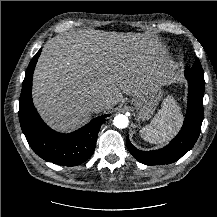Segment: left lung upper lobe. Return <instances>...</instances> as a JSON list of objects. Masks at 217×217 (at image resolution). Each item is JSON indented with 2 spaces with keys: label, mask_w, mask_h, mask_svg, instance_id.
Segmentation results:
<instances>
[{
  "label": "left lung upper lobe",
  "mask_w": 217,
  "mask_h": 217,
  "mask_svg": "<svg viewBox=\"0 0 217 217\" xmlns=\"http://www.w3.org/2000/svg\"><path fill=\"white\" fill-rule=\"evenodd\" d=\"M193 72V74L199 79L204 81V71L202 69V66L200 64L199 59H196V61L194 62V65L192 68H190Z\"/></svg>",
  "instance_id": "obj_1"
}]
</instances>
